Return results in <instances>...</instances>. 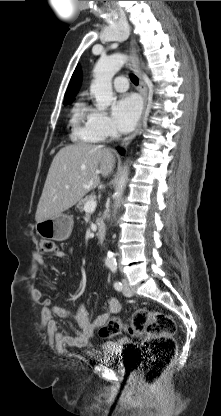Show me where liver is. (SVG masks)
I'll list each match as a JSON object with an SVG mask.
<instances>
[{
  "label": "liver",
  "mask_w": 221,
  "mask_h": 416,
  "mask_svg": "<svg viewBox=\"0 0 221 416\" xmlns=\"http://www.w3.org/2000/svg\"><path fill=\"white\" fill-rule=\"evenodd\" d=\"M112 151L101 145L71 144L54 156L37 205V223L51 219L79 202L108 177L115 166Z\"/></svg>",
  "instance_id": "liver-1"
}]
</instances>
